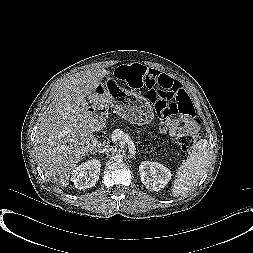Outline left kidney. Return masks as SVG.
I'll return each instance as SVG.
<instances>
[{
  "label": "left kidney",
  "instance_id": "obj_1",
  "mask_svg": "<svg viewBox=\"0 0 253 253\" xmlns=\"http://www.w3.org/2000/svg\"><path fill=\"white\" fill-rule=\"evenodd\" d=\"M142 183L150 191L164 188L171 179L170 170L158 162L143 161L139 166Z\"/></svg>",
  "mask_w": 253,
  "mask_h": 253
}]
</instances>
